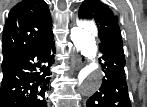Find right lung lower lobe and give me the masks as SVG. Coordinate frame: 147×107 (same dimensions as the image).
I'll return each mask as SVG.
<instances>
[{"label": "right lung lower lobe", "mask_w": 147, "mask_h": 107, "mask_svg": "<svg viewBox=\"0 0 147 107\" xmlns=\"http://www.w3.org/2000/svg\"><path fill=\"white\" fill-rule=\"evenodd\" d=\"M54 51L52 35L21 57L2 65L0 107H47Z\"/></svg>", "instance_id": "obj_1"}]
</instances>
